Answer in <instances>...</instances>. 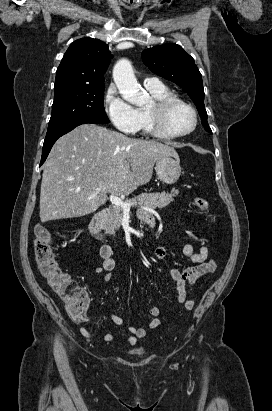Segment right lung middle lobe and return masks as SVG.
<instances>
[{"label":"right lung middle lobe","instance_id":"dd1d6c3e","mask_svg":"<svg viewBox=\"0 0 272 411\" xmlns=\"http://www.w3.org/2000/svg\"><path fill=\"white\" fill-rule=\"evenodd\" d=\"M103 93L104 85L55 92L46 135L59 132L80 121L109 123L104 109Z\"/></svg>","mask_w":272,"mask_h":411}]
</instances>
